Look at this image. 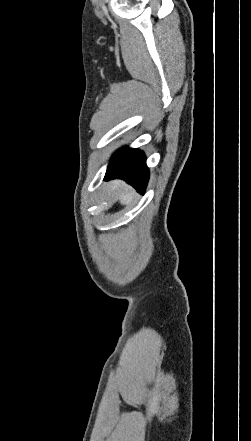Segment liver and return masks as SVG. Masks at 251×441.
Returning a JSON list of instances; mask_svg holds the SVG:
<instances>
[{
  "mask_svg": "<svg viewBox=\"0 0 251 441\" xmlns=\"http://www.w3.org/2000/svg\"><path fill=\"white\" fill-rule=\"evenodd\" d=\"M124 183L122 181H113L111 182V189L112 191L117 190L119 193H121V189L124 187ZM132 193L128 192L126 194H120L119 200L121 204H128L132 200Z\"/></svg>",
  "mask_w": 251,
  "mask_h": 441,
  "instance_id": "liver-1",
  "label": "liver"
}]
</instances>
